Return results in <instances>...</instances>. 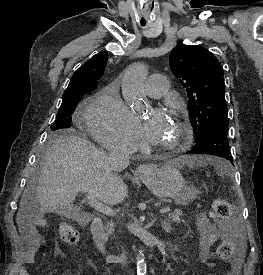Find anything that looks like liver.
Here are the masks:
<instances>
[{
	"instance_id": "1",
	"label": "liver",
	"mask_w": 263,
	"mask_h": 275,
	"mask_svg": "<svg viewBox=\"0 0 263 275\" xmlns=\"http://www.w3.org/2000/svg\"><path fill=\"white\" fill-rule=\"evenodd\" d=\"M196 158L181 157L187 163ZM110 158L91 142L76 134H62L45 152L36 187H27L17 213V224L31 211L39 216L55 211L57 206L70 207L78 192L93 194L108 205L119 204L128 194L123 179L116 174Z\"/></svg>"
}]
</instances>
